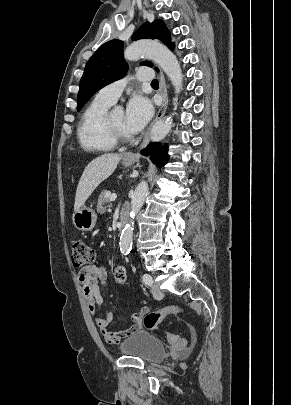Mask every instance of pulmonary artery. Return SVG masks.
<instances>
[{"mask_svg":"<svg viewBox=\"0 0 291 405\" xmlns=\"http://www.w3.org/2000/svg\"><path fill=\"white\" fill-rule=\"evenodd\" d=\"M130 79L141 82L152 81L154 79V71L150 68H141L134 77L120 79L103 87L99 90L96 97L111 104L115 103Z\"/></svg>","mask_w":291,"mask_h":405,"instance_id":"obj_1","label":"pulmonary artery"}]
</instances>
